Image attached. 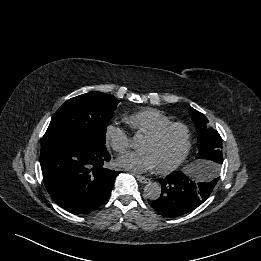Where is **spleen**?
Returning <instances> with one entry per match:
<instances>
[{
    "label": "spleen",
    "mask_w": 261,
    "mask_h": 261,
    "mask_svg": "<svg viewBox=\"0 0 261 261\" xmlns=\"http://www.w3.org/2000/svg\"><path fill=\"white\" fill-rule=\"evenodd\" d=\"M200 169H201V166L198 167V168L194 171V173L199 174L200 179H205V178H207V175H206L205 173H203Z\"/></svg>",
    "instance_id": "1"
}]
</instances>
